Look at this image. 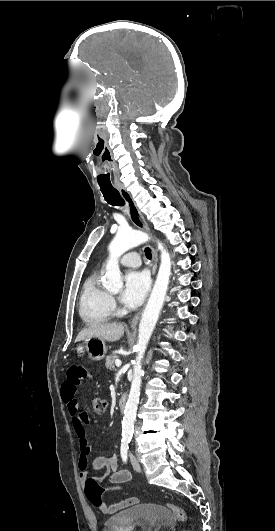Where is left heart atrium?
Here are the masks:
<instances>
[{"label":"left heart atrium","mask_w":275,"mask_h":531,"mask_svg":"<svg viewBox=\"0 0 275 531\" xmlns=\"http://www.w3.org/2000/svg\"><path fill=\"white\" fill-rule=\"evenodd\" d=\"M150 287L149 273L140 268L130 269L125 273L122 301L131 307L139 306Z\"/></svg>","instance_id":"39dd6f15"}]
</instances>
